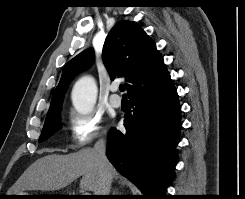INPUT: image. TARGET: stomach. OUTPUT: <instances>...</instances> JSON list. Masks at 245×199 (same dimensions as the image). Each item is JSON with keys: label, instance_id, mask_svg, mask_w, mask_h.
Here are the masks:
<instances>
[{"label": "stomach", "instance_id": "1", "mask_svg": "<svg viewBox=\"0 0 245 199\" xmlns=\"http://www.w3.org/2000/svg\"><path fill=\"white\" fill-rule=\"evenodd\" d=\"M12 195H32V194L23 192V193H21V194H12ZM16 197H18V199H25L24 197H27V196H16Z\"/></svg>", "mask_w": 245, "mask_h": 199}]
</instances>
